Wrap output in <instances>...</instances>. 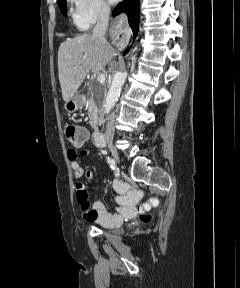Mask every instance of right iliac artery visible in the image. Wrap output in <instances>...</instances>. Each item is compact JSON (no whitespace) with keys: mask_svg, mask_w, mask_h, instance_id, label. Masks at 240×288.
I'll return each instance as SVG.
<instances>
[{"mask_svg":"<svg viewBox=\"0 0 240 288\" xmlns=\"http://www.w3.org/2000/svg\"><path fill=\"white\" fill-rule=\"evenodd\" d=\"M107 162H108V164L110 165L111 168H114L115 161L112 158L107 157Z\"/></svg>","mask_w":240,"mask_h":288,"instance_id":"right-iliac-artery-1","label":"right iliac artery"}]
</instances>
